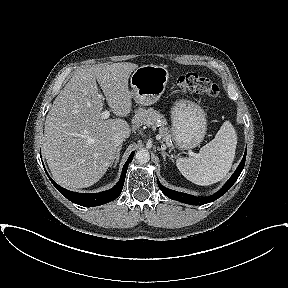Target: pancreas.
I'll use <instances>...</instances> for the list:
<instances>
[{
  "label": "pancreas",
  "instance_id": "obj_1",
  "mask_svg": "<svg viewBox=\"0 0 288 288\" xmlns=\"http://www.w3.org/2000/svg\"><path fill=\"white\" fill-rule=\"evenodd\" d=\"M132 123L136 126H160L159 127V134L163 138L169 137V130L167 128V121L165 117L160 114L158 111L154 110L153 108H139L135 111V115L132 119Z\"/></svg>",
  "mask_w": 288,
  "mask_h": 288
}]
</instances>
